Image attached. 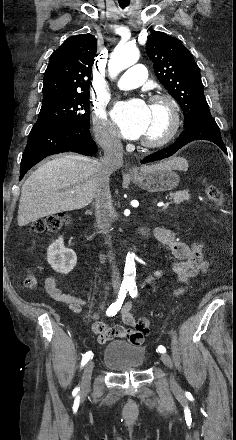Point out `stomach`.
I'll list each match as a JSON object with an SVG mask.
<instances>
[{
    "instance_id": "obj_1",
    "label": "stomach",
    "mask_w": 236,
    "mask_h": 440,
    "mask_svg": "<svg viewBox=\"0 0 236 440\" xmlns=\"http://www.w3.org/2000/svg\"><path fill=\"white\" fill-rule=\"evenodd\" d=\"M181 170L187 168L185 160H181ZM174 168L157 167L155 169L141 170L130 177L140 188L148 192H162L176 188L180 177Z\"/></svg>"
}]
</instances>
